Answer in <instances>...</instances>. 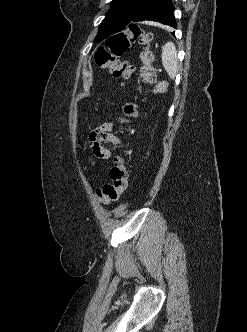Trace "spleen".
Masks as SVG:
<instances>
[{"instance_id": "obj_1", "label": "spleen", "mask_w": 247, "mask_h": 332, "mask_svg": "<svg viewBox=\"0 0 247 332\" xmlns=\"http://www.w3.org/2000/svg\"><path fill=\"white\" fill-rule=\"evenodd\" d=\"M162 64L167 71L169 77L174 79L177 70H178V60H177V51L176 47L172 42H167L162 46ZM162 87H159V90H162Z\"/></svg>"}]
</instances>
